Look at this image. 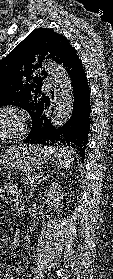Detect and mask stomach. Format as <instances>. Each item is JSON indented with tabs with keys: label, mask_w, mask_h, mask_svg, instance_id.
<instances>
[{
	"label": "stomach",
	"mask_w": 113,
	"mask_h": 279,
	"mask_svg": "<svg viewBox=\"0 0 113 279\" xmlns=\"http://www.w3.org/2000/svg\"><path fill=\"white\" fill-rule=\"evenodd\" d=\"M53 155L40 145H16L0 155V165L18 170L35 171L50 164Z\"/></svg>",
	"instance_id": "obj_1"
}]
</instances>
